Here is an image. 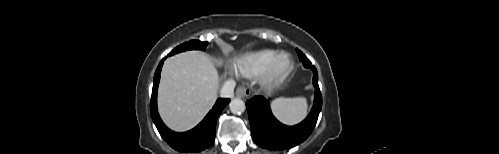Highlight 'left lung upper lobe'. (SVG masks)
Wrapping results in <instances>:
<instances>
[{
  "instance_id": "1",
  "label": "left lung upper lobe",
  "mask_w": 499,
  "mask_h": 154,
  "mask_svg": "<svg viewBox=\"0 0 499 154\" xmlns=\"http://www.w3.org/2000/svg\"><path fill=\"white\" fill-rule=\"evenodd\" d=\"M297 53H298L300 60L303 62V64H311V62L308 60V58L300 50H297Z\"/></svg>"
}]
</instances>
